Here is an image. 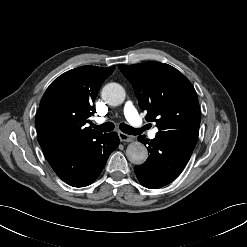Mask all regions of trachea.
Wrapping results in <instances>:
<instances>
[{"mask_svg":"<svg viewBox=\"0 0 247 247\" xmlns=\"http://www.w3.org/2000/svg\"><path fill=\"white\" fill-rule=\"evenodd\" d=\"M92 127L99 130V131H102V132H110L114 129V124L112 122H106V123L101 124V125L92 124ZM119 128L122 132L129 134V135H137L140 133L139 130L134 129L133 127H131L125 123H121Z\"/></svg>","mask_w":247,"mask_h":247,"instance_id":"obj_1","label":"trachea"}]
</instances>
